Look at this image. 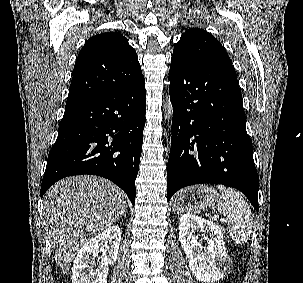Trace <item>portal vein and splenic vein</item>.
<instances>
[{
	"mask_svg": "<svg viewBox=\"0 0 303 283\" xmlns=\"http://www.w3.org/2000/svg\"><path fill=\"white\" fill-rule=\"evenodd\" d=\"M222 220H223V221H226L227 219H224V218H223Z\"/></svg>",
	"mask_w": 303,
	"mask_h": 283,
	"instance_id": "1",
	"label": "portal vein and splenic vein"
}]
</instances>
